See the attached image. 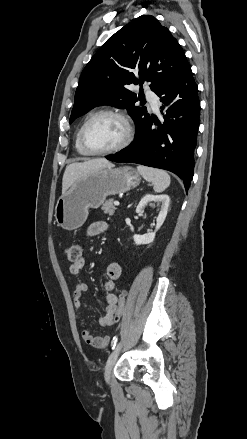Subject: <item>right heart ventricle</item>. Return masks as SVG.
Here are the masks:
<instances>
[{
    "label": "right heart ventricle",
    "mask_w": 247,
    "mask_h": 439,
    "mask_svg": "<svg viewBox=\"0 0 247 439\" xmlns=\"http://www.w3.org/2000/svg\"><path fill=\"white\" fill-rule=\"evenodd\" d=\"M79 131L80 129L77 131L76 135H75V140H74V145H75V149L77 150V152L81 155H87L84 150L82 149L80 142H79Z\"/></svg>",
    "instance_id": "1"
}]
</instances>
